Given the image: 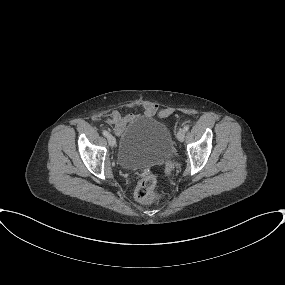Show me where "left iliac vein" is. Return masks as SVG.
I'll return each instance as SVG.
<instances>
[{
    "mask_svg": "<svg viewBox=\"0 0 285 285\" xmlns=\"http://www.w3.org/2000/svg\"><path fill=\"white\" fill-rule=\"evenodd\" d=\"M184 138H185V131L184 129H180L177 133V139L182 142Z\"/></svg>",
    "mask_w": 285,
    "mask_h": 285,
    "instance_id": "4c4485c4",
    "label": "left iliac vein"
}]
</instances>
